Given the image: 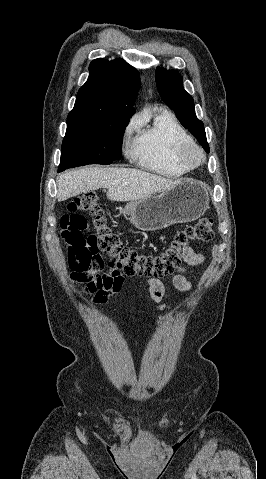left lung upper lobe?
Here are the masks:
<instances>
[{
  "instance_id": "obj_1",
  "label": "left lung upper lobe",
  "mask_w": 266,
  "mask_h": 479,
  "mask_svg": "<svg viewBox=\"0 0 266 479\" xmlns=\"http://www.w3.org/2000/svg\"><path fill=\"white\" fill-rule=\"evenodd\" d=\"M156 85L162 100L175 112L180 123L197 138L204 150L209 152L204 124L196 117L193 98L184 90L178 72L157 67Z\"/></svg>"
}]
</instances>
